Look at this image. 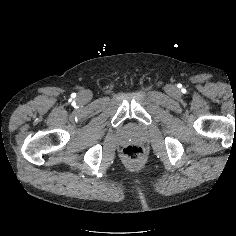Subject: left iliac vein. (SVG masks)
Returning a JSON list of instances; mask_svg holds the SVG:
<instances>
[{
    "label": "left iliac vein",
    "mask_w": 236,
    "mask_h": 236,
    "mask_svg": "<svg viewBox=\"0 0 236 236\" xmlns=\"http://www.w3.org/2000/svg\"><path fill=\"white\" fill-rule=\"evenodd\" d=\"M168 92L171 96H176L177 95V89L173 86L169 87Z\"/></svg>",
    "instance_id": "1"
}]
</instances>
